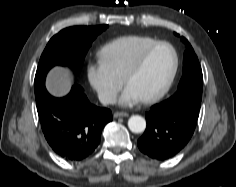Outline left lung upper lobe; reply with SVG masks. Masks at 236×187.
<instances>
[{"instance_id": "obj_1", "label": "left lung upper lobe", "mask_w": 236, "mask_h": 187, "mask_svg": "<svg viewBox=\"0 0 236 187\" xmlns=\"http://www.w3.org/2000/svg\"><path fill=\"white\" fill-rule=\"evenodd\" d=\"M181 40L187 47L183 59V76L178 85L177 92L163 102L170 106L184 102L200 108L203 88L201 66L189 42L184 37H181Z\"/></svg>"}]
</instances>
